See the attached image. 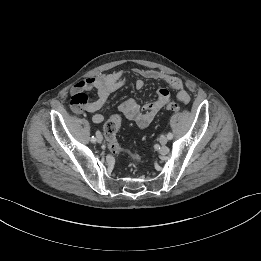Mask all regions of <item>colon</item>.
<instances>
[{"label":"colon","instance_id":"obj_1","mask_svg":"<svg viewBox=\"0 0 261 261\" xmlns=\"http://www.w3.org/2000/svg\"><path fill=\"white\" fill-rule=\"evenodd\" d=\"M165 109L168 111H171V112H178L180 110V105L176 102L169 101L165 104ZM121 122H122V120H121L120 116L113 115L106 121V123L104 124V127H103L104 135L106 137L107 144H108V149L113 154H119V153L125 151L120 146L118 139H117V133L120 129ZM129 153L135 161L139 160L138 155L133 154L131 152H129Z\"/></svg>","mask_w":261,"mask_h":261}]
</instances>
